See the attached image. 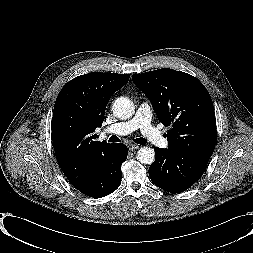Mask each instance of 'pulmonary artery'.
Returning a JSON list of instances; mask_svg holds the SVG:
<instances>
[{"label":"pulmonary artery","mask_w":253,"mask_h":253,"mask_svg":"<svg viewBox=\"0 0 253 253\" xmlns=\"http://www.w3.org/2000/svg\"><path fill=\"white\" fill-rule=\"evenodd\" d=\"M137 129L141 130L146 141L159 148H168L169 141L151 123L150 107L146 102L141 103L133 118L118 122L106 130V132L125 135Z\"/></svg>","instance_id":"pulmonary-artery-1"}]
</instances>
